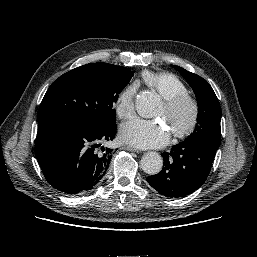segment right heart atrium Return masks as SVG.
<instances>
[{
  "mask_svg": "<svg viewBox=\"0 0 257 257\" xmlns=\"http://www.w3.org/2000/svg\"><path fill=\"white\" fill-rule=\"evenodd\" d=\"M136 90V85L130 83L119 93L116 101V113L119 118L129 119L133 116Z\"/></svg>",
  "mask_w": 257,
  "mask_h": 257,
  "instance_id": "right-heart-atrium-1",
  "label": "right heart atrium"
}]
</instances>
